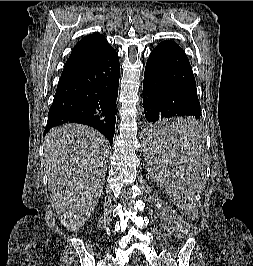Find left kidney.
I'll return each mask as SVG.
<instances>
[{"instance_id":"left-kidney-1","label":"left kidney","mask_w":253,"mask_h":266,"mask_svg":"<svg viewBox=\"0 0 253 266\" xmlns=\"http://www.w3.org/2000/svg\"><path fill=\"white\" fill-rule=\"evenodd\" d=\"M185 203H186V201H184V202H183V201H179V202H178V207H182L181 205H182V204H185ZM179 204H180V205H179Z\"/></svg>"}]
</instances>
